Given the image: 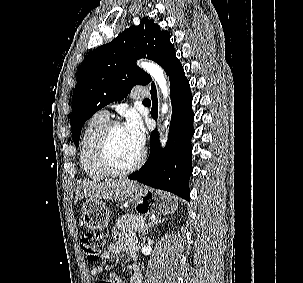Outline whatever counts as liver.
<instances>
[{
	"mask_svg": "<svg viewBox=\"0 0 303 283\" xmlns=\"http://www.w3.org/2000/svg\"><path fill=\"white\" fill-rule=\"evenodd\" d=\"M138 188L139 184L136 181L128 179L105 182L82 180L76 189L75 202L83 198L123 201Z\"/></svg>",
	"mask_w": 303,
	"mask_h": 283,
	"instance_id": "obj_1",
	"label": "liver"
}]
</instances>
